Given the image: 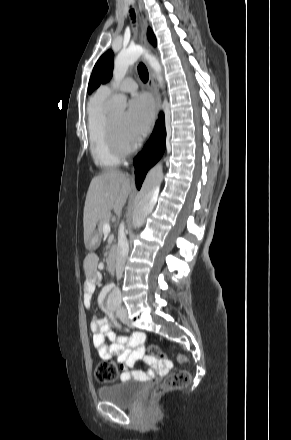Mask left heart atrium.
<instances>
[{"label":"left heart atrium","instance_id":"39dd6f15","mask_svg":"<svg viewBox=\"0 0 291 440\" xmlns=\"http://www.w3.org/2000/svg\"><path fill=\"white\" fill-rule=\"evenodd\" d=\"M153 120V105L146 95L135 96L124 117L125 132L132 142L145 135Z\"/></svg>","mask_w":291,"mask_h":440}]
</instances>
